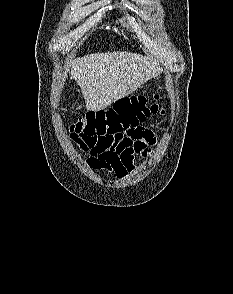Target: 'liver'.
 I'll use <instances>...</instances> for the list:
<instances>
[{"mask_svg": "<svg viewBox=\"0 0 233 294\" xmlns=\"http://www.w3.org/2000/svg\"><path fill=\"white\" fill-rule=\"evenodd\" d=\"M68 66L91 111L107 108L162 71L152 58L119 51L79 57Z\"/></svg>", "mask_w": 233, "mask_h": 294, "instance_id": "obj_1", "label": "liver"}]
</instances>
